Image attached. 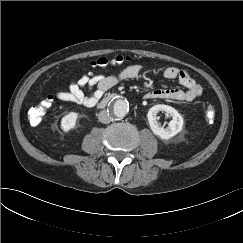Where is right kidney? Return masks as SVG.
Instances as JSON below:
<instances>
[{
	"label": "right kidney",
	"mask_w": 243,
	"mask_h": 243,
	"mask_svg": "<svg viewBox=\"0 0 243 243\" xmlns=\"http://www.w3.org/2000/svg\"><path fill=\"white\" fill-rule=\"evenodd\" d=\"M78 119V113L70 112L69 114L65 115L61 120V129L64 132H68L69 130L73 129L76 125V121Z\"/></svg>",
	"instance_id": "ca27d5eb"
}]
</instances>
